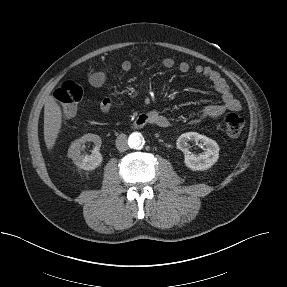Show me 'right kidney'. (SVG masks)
Returning a JSON list of instances; mask_svg holds the SVG:
<instances>
[{
  "label": "right kidney",
  "mask_w": 287,
  "mask_h": 287,
  "mask_svg": "<svg viewBox=\"0 0 287 287\" xmlns=\"http://www.w3.org/2000/svg\"><path fill=\"white\" fill-rule=\"evenodd\" d=\"M86 142H93L95 148L92 150V153L82 154L81 150L84 147ZM101 138L95 134H85L80 139L72 142L69 150L68 156L73 160L74 164L84 170H94L97 168L103 161V157L99 152L101 146Z\"/></svg>",
  "instance_id": "1"
}]
</instances>
